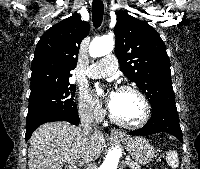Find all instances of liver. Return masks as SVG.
I'll return each mask as SVG.
<instances>
[{"mask_svg": "<svg viewBox=\"0 0 200 169\" xmlns=\"http://www.w3.org/2000/svg\"><path fill=\"white\" fill-rule=\"evenodd\" d=\"M29 143V169H63L65 162L84 165L96 160L105 138L101 132L85 136L81 128L59 121L38 127Z\"/></svg>", "mask_w": 200, "mask_h": 169, "instance_id": "obj_1", "label": "liver"}]
</instances>
